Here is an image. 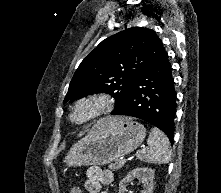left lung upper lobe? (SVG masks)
<instances>
[{
	"label": "left lung upper lobe",
	"instance_id": "left-lung-upper-lobe-1",
	"mask_svg": "<svg viewBox=\"0 0 221 193\" xmlns=\"http://www.w3.org/2000/svg\"><path fill=\"white\" fill-rule=\"evenodd\" d=\"M164 52L155 31L143 27L128 28L106 38L79 65L64 103L105 92L119 105L136 77Z\"/></svg>",
	"mask_w": 221,
	"mask_h": 193
}]
</instances>
